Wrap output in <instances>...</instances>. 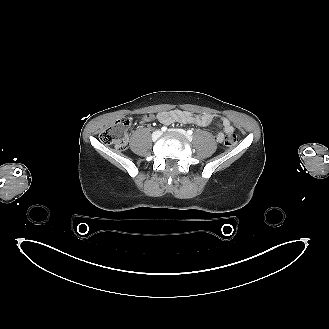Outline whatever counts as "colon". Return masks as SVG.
<instances>
[{
	"instance_id": "5ec220e1",
	"label": "colon",
	"mask_w": 329,
	"mask_h": 329,
	"mask_svg": "<svg viewBox=\"0 0 329 329\" xmlns=\"http://www.w3.org/2000/svg\"><path fill=\"white\" fill-rule=\"evenodd\" d=\"M151 117L148 115L144 120H149ZM130 125L129 119L118 120L113 125L104 128L100 132V140L106 144L115 146L117 148H125L128 141V127ZM237 143V136L229 134L224 139L226 147H234Z\"/></svg>"
}]
</instances>
